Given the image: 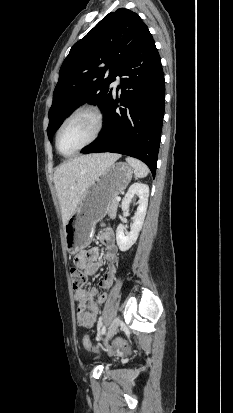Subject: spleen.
<instances>
[{
	"instance_id": "3e777b00",
	"label": "spleen",
	"mask_w": 233,
	"mask_h": 413,
	"mask_svg": "<svg viewBox=\"0 0 233 413\" xmlns=\"http://www.w3.org/2000/svg\"><path fill=\"white\" fill-rule=\"evenodd\" d=\"M126 161L128 164L134 169L135 176L138 178H144L148 175L149 169L148 167L135 158L127 157Z\"/></svg>"
}]
</instances>
